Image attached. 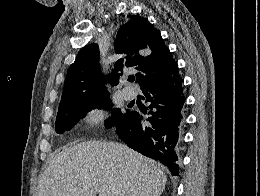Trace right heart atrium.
Returning a JSON list of instances; mask_svg holds the SVG:
<instances>
[{"label":"right heart atrium","mask_w":260,"mask_h":196,"mask_svg":"<svg viewBox=\"0 0 260 196\" xmlns=\"http://www.w3.org/2000/svg\"><path fill=\"white\" fill-rule=\"evenodd\" d=\"M100 117H101V111L97 107H91L85 114V120H87L90 123H97L100 120ZM87 143H102V142L91 141Z\"/></svg>","instance_id":"1"}]
</instances>
